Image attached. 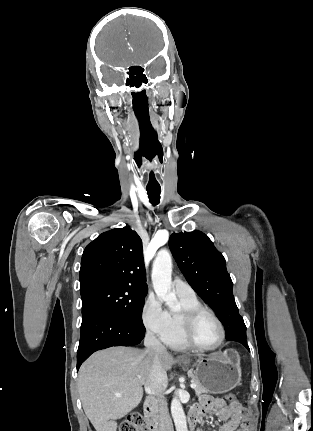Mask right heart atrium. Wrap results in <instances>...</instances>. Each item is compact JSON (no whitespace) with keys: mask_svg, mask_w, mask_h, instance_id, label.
Wrapping results in <instances>:
<instances>
[{"mask_svg":"<svg viewBox=\"0 0 313 431\" xmlns=\"http://www.w3.org/2000/svg\"><path fill=\"white\" fill-rule=\"evenodd\" d=\"M141 319L150 333L162 340L167 335L170 326L169 313L158 297L151 295L146 299L142 307Z\"/></svg>","mask_w":313,"mask_h":431,"instance_id":"obj_1","label":"right heart atrium"}]
</instances>
